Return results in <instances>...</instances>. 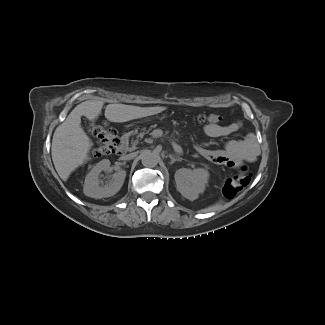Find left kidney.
I'll list each match as a JSON object with an SVG mask.
<instances>
[{
	"label": "left kidney",
	"instance_id": "left-kidney-1",
	"mask_svg": "<svg viewBox=\"0 0 325 325\" xmlns=\"http://www.w3.org/2000/svg\"><path fill=\"white\" fill-rule=\"evenodd\" d=\"M209 172L204 168H181L175 173L177 190L183 197L191 201L198 198L205 191L209 180Z\"/></svg>",
	"mask_w": 325,
	"mask_h": 325
}]
</instances>
